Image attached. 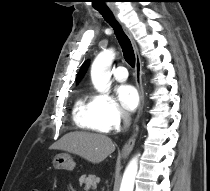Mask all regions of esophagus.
Instances as JSON below:
<instances>
[{
	"instance_id": "esophagus-1",
	"label": "esophagus",
	"mask_w": 210,
	"mask_h": 191,
	"mask_svg": "<svg viewBox=\"0 0 210 191\" xmlns=\"http://www.w3.org/2000/svg\"><path fill=\"white\" fill-rule=\"evenodd\" d=\"M111 9H112V12H113L116 20L118 21V23L122 27L123 31L129 37V39L132 43L134 53H135V80H136V86H137V89H138V92H139V95H140V105H139L137 117H136L135 124H134V133L129 138V140L125 143V145H124V147L122 148V151H121V155L126 156L132 151V149L134 147L136 131L138 129L136 123L140 119V117L142 115V112H143V107H144L145 96H144V89H143V83H142V74H143V72H142V61H141V58H140V55H139V52H138V47L136 45V42H135L131 32L126 27V25L119 19L117 9L116 8H111Z\"/></svg>"
}]
</instances>
